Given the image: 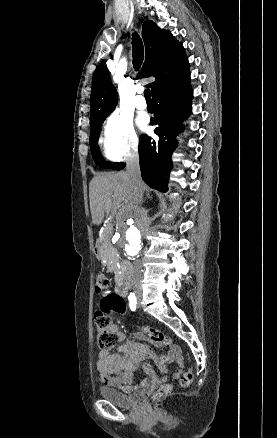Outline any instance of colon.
Returning <instances> with one entry per match:
<instances>
[{
    "mask_svg": "<svg viewBox=\"0 0 277 438\" xmlns=\"http://www.w3.org/2000/svg\"><path fill=\"white\" fill-rule=\"evenodd\" d=\"M95 294L101 295L111 285L110 280L102 272L95 274ZM95 326L100 329L96 335V344L101 351H110L118 342V335L107 330V327L111 323V317L105 312H96L94 315ZM144 334L151 339L155 344H171V339L165 336L160 330L154 328H145ZM193 381V373L187 371L180 377V385L182 387L189 386ZM167 387L163 389H150V398L155 401H159L161 398H165V395L170 393V389H175L177 383L175 380H168Z\"/></svg>",
    "mask_w": 277,
    "mask_h": 438,
    "instance_id": "colon-1",
    "label": "colon"
}]
</instances>
